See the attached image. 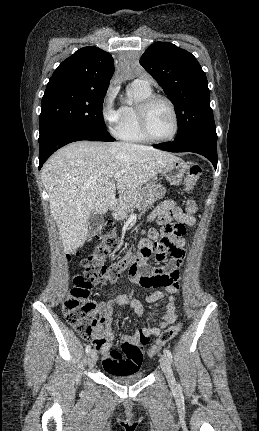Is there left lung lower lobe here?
Returning a JSON list of instances; mask_svg holds the SVG:
<instances>
[{
    "label": "left lung lower lobe",
    "instance_id": "0a47b994",
    "mask_svg": "<svg viewBox=\"0 0 259 431\" xmlns=\"http://www.w3.org/2000/svg\"><path fill=\"white\" fill-rule=\"evenodd\" d=\"M217 136L208 134H193L174 142L161 143L154 145L155 148L166 151H187L194 152L206 157L217 168Z\"/></svg>",
    "mask_w": 259,
    "mask_h": 431
}]
</instances>
